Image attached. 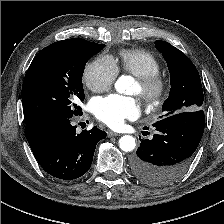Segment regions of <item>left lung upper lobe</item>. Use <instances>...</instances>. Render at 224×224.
<instances>
[{
  "label": "left lung upper lobe",
  "mask_w": 224,
  "mask_h": 224,
  "mask_svg": "<svg viewBox=\"0 0 224 224\" xmlns=\"http://www.w3.org/2000/svg\"><path fill=\"white\" fill-rule=\"evenodd\" d=\"M155 46L165 58L171 75L170 94L162 107L165 117L202 109L204 96L201 80L192 61L168 42L158 40Z\"/></svg>",
  "instance_id": "left-lung-upper-lobe-1"
}]
</instances>
